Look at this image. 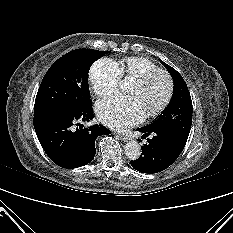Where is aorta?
<instances>
[{
  "label": "aorta",
  "instance_id": "obj_1",
  "mask_svg": "<svg viewBox=\"0 0 233 233\" xmlns=\"http://www.w3.org/2000/svg\"><path fill=\"white\" fill-rule=\"evenodd\" d=\"M124 153L126 157L130 160L138 159L141 155L140 144L135 140L127 142L124 148Z\"/></svg>",
  "mask_w": 233,
  "mask_h": 233
}]
</instances>
